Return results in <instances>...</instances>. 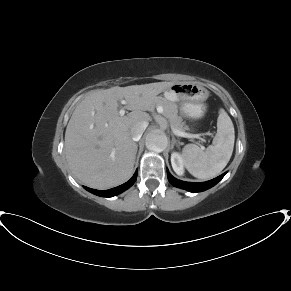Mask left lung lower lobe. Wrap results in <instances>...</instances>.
I'll return each instance as SVG.
<instances>
[{
  "instance_id": "obj_1",
  "label": "left lung lower lobe",
  "mask_w": 291,
  "mask_h": 291,
  "mask_svg": "<svg viewBox=\"0 0 291 291\" xmlns=\"http://www.w3.org/2000/svg\"><path fill=\"white\" fill-rule=\"evenodd\" d=\"M225 174L226 173L206 182L196 183L177 180L167 171L168 180L173 186L188 190L190 192H201L213 187L224 177Z\"/></svg>"
}]
</instances>
